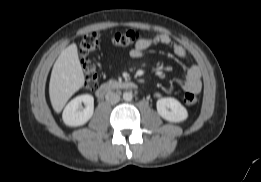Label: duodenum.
<instances>
[{
  "label": "duodenum",
  "instance_id": "1",
  "mask_svg": "<svg viewBox=\"0 0 261 182\" xmlns=\"http://www.w3.org/2000/svg\"><path fill=\"white\" fill-rule=\"evenodd\" d=\"M136 84L132 81H111L100 85L95 94L98 98H103L107 93L114 89H135Z\"/></svg>",
  "mask_w": 261,
  "mask_h": 182
}]
</instances>
